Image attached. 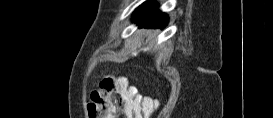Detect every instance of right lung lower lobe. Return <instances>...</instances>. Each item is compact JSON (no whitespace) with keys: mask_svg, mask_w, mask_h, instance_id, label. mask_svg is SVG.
<instances>
[{"mask_svg":"<svg viewBox=\"0 0 273 118\" xmlns=\"http://www.w3.org/2000/svg\"><path fill=\"white\" fill-rule=\"evenodd\" d=\"M140 27H160L167 25L168 17L165 13L158 10V6L153 2L142 4L134 13L133 19Z\"/></svg>","mask_w":273,"mask_h":118,"instance_id":"98d812e1","label":"right lung lower lobe"}]
</instances>
